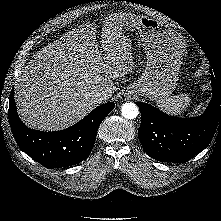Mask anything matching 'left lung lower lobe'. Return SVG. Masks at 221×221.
Masks as SVG:
<instances>
[{
	"mask_svg": "<svg viewBox=\"0 0 221 221\" xmlns=\"http://www.w3.org/2000/svg\"><path fill=\"white\" fill-rule=\"evenodd\" d=\"M213 96L204 112L196 118H178L145 103L137 102L142 117L138 136L150 157L185 163L204 150L216 129L221 127V82L212 75Z\"/></svg>",
	"mask_w": 221,
	"mask_h": 221,
	"instance_id": "0a47b994",
	"label": "left lung lower lobe"
}]
</instances>
